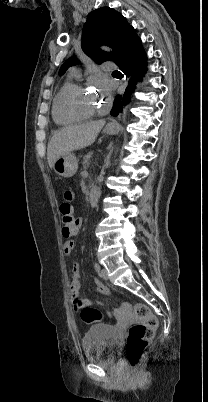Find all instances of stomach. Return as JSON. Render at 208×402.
I'll list each match as a JSON object with an SVG mask.
<instances>
[{
    "label": "stomach",
    "mask_w": 208,
    "mask_h": 402,
    "mask_svg": "<svg viewBox=\"0 0 208 402\" xmlns=\"http://www.w3.org/2000/svg\"><path fill=\"white\" fill-rule=\"evenodd\" d=\"M120 128L116 122H110L107 124L104 132L106 134H118ZM78 168V162L75 154L69 152V154H64V156H59L57 160L54 162L53 170L58 174V176H62V178H71L76 174Z\"/></svg>",
    "instance_id": "obj_1"
}]
</instances>
